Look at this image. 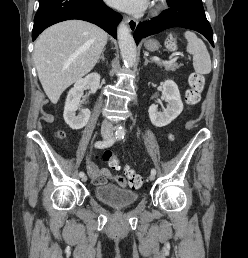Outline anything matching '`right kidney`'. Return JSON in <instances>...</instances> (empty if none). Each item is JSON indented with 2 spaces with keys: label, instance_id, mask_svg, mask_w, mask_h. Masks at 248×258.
I'll list each match as a JSON object with an SVG mask.
<instances>
[{
  "label": "right kidney",
  "instance_id": "ca27d5eb",
  "mask_svg": "<svg viewBox=\"0 0 248 258\" xmlns=\"http://www.w3.org/2000/svg\"><path fill=\"white\" fill-rule=\"evenodd\" d=\"M100 75L98 73H91L85 78L79 79L70 89L64 107L63 117L70 128L79 130L83 128L89 121L90 110L82 109L79 115L76 111L80 109V98L85 87H89L91 93H95L99 87Z\"/></svg>",
  "mask_w": 248,
  "mask_h": 258
}]
</instances>
